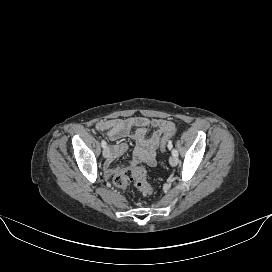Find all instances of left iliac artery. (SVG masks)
<instances>
[{
  "mask_svg": "<svg viewBox=\"0 0 272 272\" xmlns=\"http://www.w3.org/2000/svg\"><path fill=\"white\" fill-rule=\"evenodd\" d=\"M171 147H172V146L169 145V148H171ZM172 155H173V156H176V157L178 156V152H177L176 149H173V150H172Z\"/></svg>",
  "mask_w": 272,
  "mask_h": 272,
  "instance_id": "44dca946",
  "label": "left iliac artery"
}]
</instances>
